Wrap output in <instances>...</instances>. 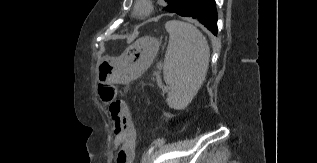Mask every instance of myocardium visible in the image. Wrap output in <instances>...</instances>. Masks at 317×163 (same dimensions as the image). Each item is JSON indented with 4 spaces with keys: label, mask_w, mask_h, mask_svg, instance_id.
I'll list each match as a JSON object with an SVG mask.
<instances>
[{
    "label": "myocardium",
    "mask_w": 317,
    "mask_h": 163,
    "mask_svg": "<svg viewBox=\"0 0 317 163\" xmlns=\"http://www.w3.org/2000/svg\"><path fill=\"white\" fill-rule=\"evenodd\" d=\"M153 11L152 0H137L133 14L139 19L148 17Z\"/></svg>",
    "instance_id": "myocardium-1"
}]
</instances>
